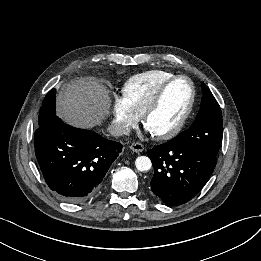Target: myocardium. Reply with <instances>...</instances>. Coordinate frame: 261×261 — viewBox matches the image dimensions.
<instances>
[{"instance_id":"1","label":"myocardium","mask_w":261,"mask_h":261,"mask_svg":"<svg viewBox=\"0 0 261 261\" xmlns=\"http://www.w3.org/2000/svg\"><path fill=\"white\" fill-rule=\"evenodd\" d=\"M180 79H185L189 82L190 84V88H191V97L189 100V104L183 114V116L181 117L180 121L178 122V124L173 127L172 129L163 132V133H158V134H152L156 139L159 140H167V139H171L174 136H176L185 126L187 120L189 119L194 104H195V99H196V89H195V85L194 82L192 81V79L186 75H175L172 78H170L168 81H166L157 91V93L155 94L154 98L152 99V101L149 103V105L147 106V108L145 109L144 113L142 114V122H143V126L145 128H147V122L148 119L151 117V115L157 111V109L160 107L162 100L168 90V88L176 81L180 80Z\"/></svg>"}]
</instances>
